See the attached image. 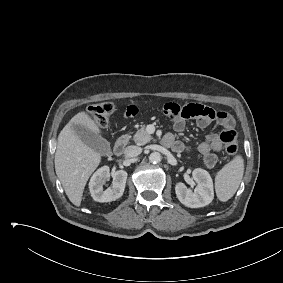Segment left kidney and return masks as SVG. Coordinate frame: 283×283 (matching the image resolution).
I'll list each match as a JSON object with an SVG mask.
<instances>
[{
  "instance_id": "obj_1",
  "label": "left kidney",
  "mask_w": 283,
  "mask_h": 283,
  "mask_svg": "<svg viewBox=\"0 0 283 283\" xmlns=\"http://www.w3.org/2000/svg\"><path fill=\"white\" fill-rule=\"evenodd\" d=\"M193 179L197 183L194 191L187 188L184 183H177L175 192L178 200L189 208H199L210 204L214 198L213 181L210 174L201 168L192 172Z\"/></svg>"
}]
</instances>
